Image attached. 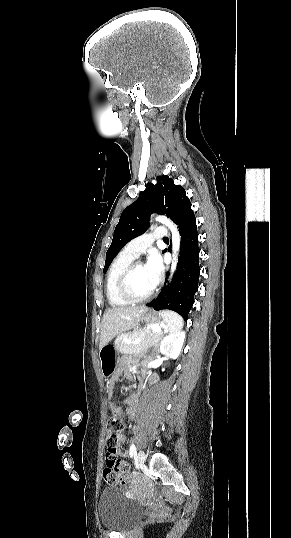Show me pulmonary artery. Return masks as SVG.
<instances>
[{
    "instance_id": "1",
    "label": "pulmonary artery",
    "mask_w": 291,
    "mask_h": 538,
    "mask_svg": "<svg viewBox=\"0 0 291 538\" xmlns=\"http://www.w3.org/2000/svg\"><path fill=\"white\" fill-rule=\"evenodd\" d=\"M168 230L164 227H158L153 232L140 235L139 237L131 240L124 248V250L132 255L138 257L145 252L156 239H163L168 236Z\"/></svg>"
}]
</instances>
